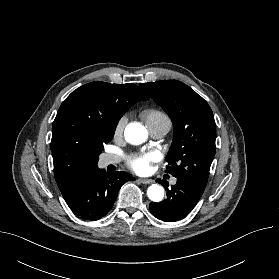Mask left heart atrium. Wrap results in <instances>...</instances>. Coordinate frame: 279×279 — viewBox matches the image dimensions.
<instances>
[{"label":"left heart atrium","instance_id":"39dd6f15","mask_svg":"<svg viewBox=\"0 0 279 279\" xmlns=\"http://www.w3.org/2000/svg\"><path fill=\"white\" fill-rule=\"evenodd\" d=\"M157 152H149L142 155L134 156L129 160V166L139 174H145L150 171L151 163L159 160Z\"/></svg>","mask_w":279,"mask_h":279}]
</instances>
